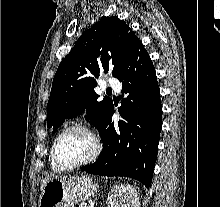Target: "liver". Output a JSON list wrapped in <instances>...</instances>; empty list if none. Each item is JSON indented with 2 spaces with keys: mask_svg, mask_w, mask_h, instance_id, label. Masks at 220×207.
Returning <instances> with one entry per match:
<instances>
[{
  "mask_svg": "<svg viewBox=\"0 0 220 207\" xmlns=\"http://www.w3.org/2000/svg\"><path fill=\"white\" fill-rule=\"evenodd\" d=\"M51 178H47L43 181V184L41 185V192L43 190V187L45 186L46 182L49 181Z\"/></svg>",
  "mask_w": 220,
  "mask_h": 207,
  "instance_id": "obj_1",
  "label": "liver"
}]
</instances>
